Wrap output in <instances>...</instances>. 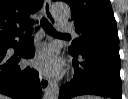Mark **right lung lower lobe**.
I'll list each match as a JSON object with an SVG mask.
<instances>
[{
    "label": "right lung lower lobe",
    "mask_w": 128,
    "mask_h": 99,
    "mask_svg": "<svg viewBox=\"0 0 128 99\" xmlns=\"http://www.w3.org/2000/svg\"><path fill=\"white\" fill-rule=\"evenodd\" d=\"M22 36V32L0 41V93L13 99H40L42 89L36 70L29 67L23 69L18 66L20 58H32L34 56L33 38L18 55L10 57L7 49L16 48L14 38Z\"/></svg>",
    "instance_id": "1"
}]
</instances>
